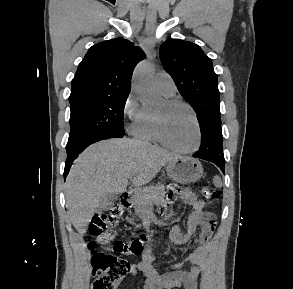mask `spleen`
<instances>
[{"mask_svg":"<svg viewBox=\"0 0 293 289\" xmlns=\"http://www.w3.org/2000/svg\"><path fill=\"white\" fill-rule=\"evenodd\" d=\"M213 182H214V185L217 188H221L222 187V181H221V178L219 176H215L214 179H213Z\"/></svg>","mask_w":293,"mask_h":289,"instance_id":"obj_1","label":"spleen"}]
</instances>
